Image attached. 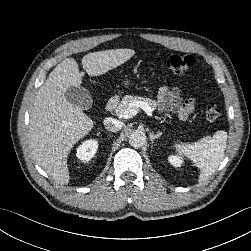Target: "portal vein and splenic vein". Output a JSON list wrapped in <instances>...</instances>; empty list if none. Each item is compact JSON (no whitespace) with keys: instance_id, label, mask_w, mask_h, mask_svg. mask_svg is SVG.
<instances>
[{"instance_id":"portal-vein-and-splenic-vein-1","label":"portal vein and splenic vein","mask_w":251,"mask_h":251,"mask_svg":"<svg viewBox=\"0 0 251 251\" xmlns=\"http://www.w3.org/2000/svg\"><path fill=\"white\" fill-rule=\"evenodd\" d=\"M139 108L143 109L148 116H152V108L148 103L135 101L130 103L128 109L123 114H120L119 117L124 119L132 118L138 113Z\"/></svg>"}]
</instances>
